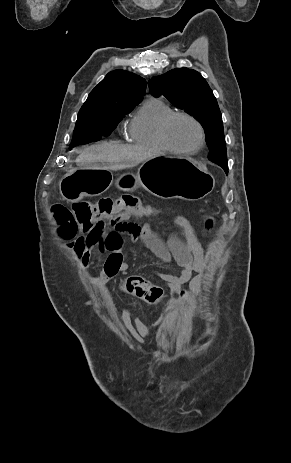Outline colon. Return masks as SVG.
Listing matches in <instances>:
<instances>
[{
  "label": "colon",
  "instance_id": "obj_1",
  "mask_svg": "<svg viewBox=\"0 0 291 463\" xmlns=\"http://www.w3.org/2000/svg\"><path fill=\"white\" fill-rule=\"evenodd\" d=\"M131 210L136 214L142 213L147 219L156 216L167 220L172 215V209L167 204L157 207L153 204H143L132 196H123L118 199L104 197L96 202L78 201L70 207L55 204L51 211L57 222V234L72 247L79 232L87 233L95 229H111L114 220L121 217H130ZM209 223L207 227H210ZM122 290L139 300L157 305L163 302L162 290L156 285L140 276H131L122 282Z\"/></svg>",
  "mask_w": 291,
  "mask_h": 463
}]
</instances>
